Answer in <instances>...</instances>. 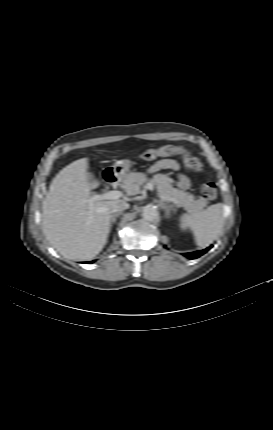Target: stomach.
I'll return each mask as SVG.
<instances>
[{
  "mask_svg": "<svg viewBox=\"0 0 273 430\" xmlns=\"http://www.w3.org/2000/svg\"><path fill=\"white\" fill-rule=\"evenodd\" d=\"M113 167H114V172L116 174H118L122 178H125L131 167V161L130 160L117 161Z\"/></svg>",
  "mask_w": 273,
  "mask_h": 430,
  "instance_id": "0dacf381",
  "label": "stomach"
}]
</instances>
